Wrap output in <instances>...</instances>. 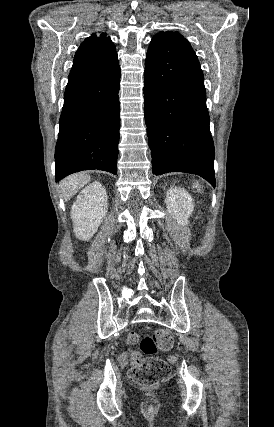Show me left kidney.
Wrapping results in <instances>:
<instances>
[{"instance_id": "1", "label": "left kidney", "mask_w": 274, "mask_h": 427, "mask_svg": "<svg viewBox=\"0 0 274 427\" xmlns=\"http://www.w3.org/2000/svg\"><path fill=\"white\" fill-rule=\"evenodd\" d=\"M167 212L177 219L180 225H187L194 210V202L184 188H170L166 194Z\"/></svg>"}]
</instances>
